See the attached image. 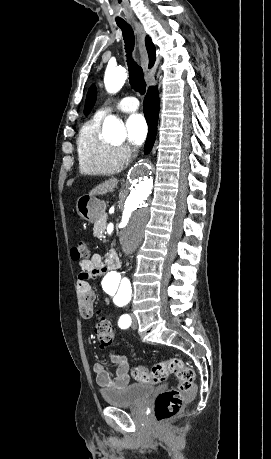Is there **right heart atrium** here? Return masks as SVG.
<instances>
[{
	"label": "right heart atrium",
	"mask_w": 271,
	"mask_h": 459,
	"mask_svg": "<svg viewBox=\"0 0 271 459\" xmlns=\"http://www.w3.org/2000/svg\"><path fill=\"white\" fill-rule=\"evenodd\" d=\"M115 153L117 158L122 162H128L133 157V150L125 144L115 146Z\"/></svg>",
	"instance_id": "1"
}]
</instances>
